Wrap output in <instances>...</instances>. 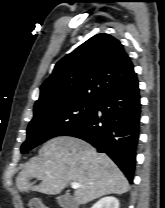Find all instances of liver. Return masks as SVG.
<instances>
[{"label":"liver","instance_id":"liver-1","mask_svg":"<svg viewBox=\"0 0 165 208\" xmlns=\"http://www.w3.org/2000/svg\"><path fill=\"white\" fill-rule=\"evenodd\" d=\"M42 182L34 186L30 179ZM69 182L82 187L75 190L77 204H86L108 194H123L129 183L117 165L89 143L74 137H56L45 143L39 156L28 162L16 179L19 191L59 194Z\"/></svg>","mask_w":165,"mask_h":208}]
</instances>
